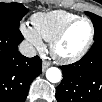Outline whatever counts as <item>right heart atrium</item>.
Returning a JSON list of instances; mask_svg holds the SVG:
<instances>
[{"instance_id":"obj_1","label":"right heart atrium","mask_w":102,"mask_h":102,"mask_svg":"<svg viewBox=\"0 0 102 102\" xmlns=\"http://www.w3.org/2000/svg\"><path fill=\"white\" fill-rule=\"evenodd\" d=\"M22 32L26 39L39 51L44 50V42L42 38L28 25H22Z\"/></svg>"}]
</instances>
